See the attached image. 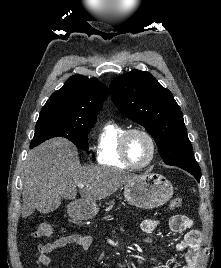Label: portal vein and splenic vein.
<instances>
[{
  "mask_svg": "<svg viewBox=\"0 0 221 268\" xmlns=\"http://www.w3.org/2000/svg\"><path fill=\"white\" fill-rule=\"evenodd\" d=\"M79 188H84V184L80 183L77 185Z\"/></svg>",
  "mask_w": 221,
  "mask_h": 268,
  "instance_id": "obj_1",
  "label": "portal vein and splenic vein"
}]
</instances>
